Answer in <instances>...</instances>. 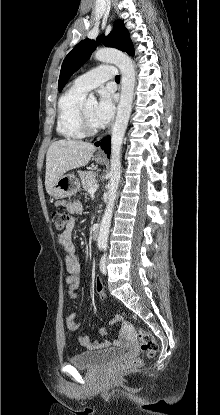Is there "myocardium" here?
<instances>
[{
    "mask_svg": "<svg viewBox=\"0 0 220 415\" xmlns=\"http://www.w3.org/2000/svg\"><path fill=\"white\" fill-rule=\"evenodd\" d=\"M85 103L86 102L83 101L79 107L78 124L84 135L94 136L100 132L101 127H92L90 125L85 111Z\"/></svg>",
    "mask_w": 220,
    "mask_h": 415,
    "instance_id": "f54148a6",
    "label": "myocardium"
}]
</instances>
